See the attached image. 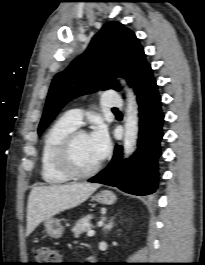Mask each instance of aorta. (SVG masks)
Returning <instances> with one entry per match:
<instances>
[{"label":"aorta","mask_w":205,"mask_h":265,"mask_svg":"<svg viewBox=\"0 0 205 265\" xmlns=\"http://www.w3.org/2000/svg\"><path fill=\"white\" fill-rule=\"evenodd\" d=\"M124 84V82H123ZM127 92V109L124 132V153L130 156L135 149L138 138V108L135 95L132 89L126 87Z\"/></svg>","instance_id":"aorta-1"}]
</instances>
